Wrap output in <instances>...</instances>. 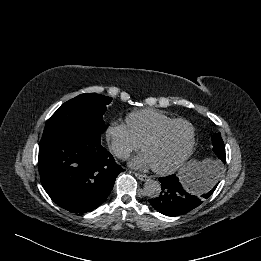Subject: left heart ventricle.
<instances>
[{
    "label": "left heart ventricle",
    "mask_w": 261,
    "mask_h": 261,
    "mask_svg": "<svg viewBox=\"0 0 261 261\" xmlns=\"http://www.w3.org/2000/svg\"><path fill=\"white\" fill-rule=\"evenodd\" d=\"M191 137L190 128L184 123L169 127L156 141L149 143L144 152L154 167H167L178 161L185 153Z\"/></svg>",
    "instance_id": "1"
}]
</instances>
